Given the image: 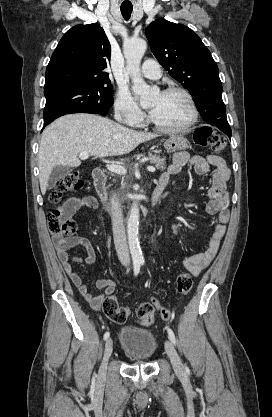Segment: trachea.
I'll return each instance as SVG.
<instances>
[{
  "label": "trachea",
  "mask_w": 272,
  "mask_h": 417,
  "mask_svg": "<svg viewBox=\"0 0 272 417\" xmlns=\"http://www.w3.org/2000/svg\"><path fill=\"white\" fill-rule=\"evenodd\" d=\"M132 6H121V13L125 20H128L132 13Z\"/></svg>",
  "instance_id": "obj_1"
}]
</instances>
